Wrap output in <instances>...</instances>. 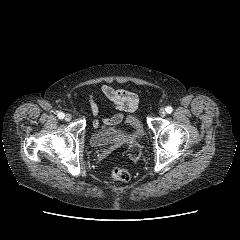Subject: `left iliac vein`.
Wrapping results in <instances>:
<instances>
[{
  "label": "left iliac vein",
  "mask_w": 240,
  "mask_h": 240,
  "mask_svg": "<svg viewBox=\"0 0 240 240\" xmlns=\"http://www.w3.org/2000/svg\"><path fill=\"white\" fill-rule=\"evenodd\" d=\"M159 114L160 116L164 117L166 115V110L164 108H160Z\"/></svg>",
  "instance_id": "4c4485c4"
}]
</instances>
